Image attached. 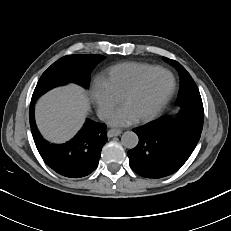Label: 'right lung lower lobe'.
<instances>
[{"instance_id": "1", "label": "right lung lower lobe", "mask_w": 231, "mask_h": 231, "mask_svg": "<svg viewBox=\"0 0 231 231\" xmlns=\"http://www.w3.org/2000/svg\"><path fill=\"white\" fill-rule=\"evenodd\" d=\"M29 113L34 142L51 169L68 178L84 177L96 169L102 147L107 141L105 124L87 119L80 132L69 142L61 145L49 144L36 127L34 103H31Z\"/></svg>"}]
</instances>
